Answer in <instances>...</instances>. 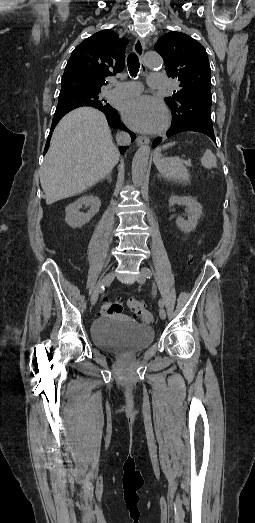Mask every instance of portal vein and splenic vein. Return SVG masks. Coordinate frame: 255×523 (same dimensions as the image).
Wrapping results in <instances>:
<instances>
[{"label":"portal vein and splenic vein","instance_id":"obj_1","mask_svg":"<svg viewBox=\"0 0 255 523\" xmlns=\"http://www.w3.org/2000/svg\"><path fill=\"white\" fill-rule=\"evenodd\" d=\"M185 165H186L187 167H190V166L192 165V162H191L190 160H187V161L185 162Z\"/></svg>","mask_w":255,"mask_h":523}]
</instances>
